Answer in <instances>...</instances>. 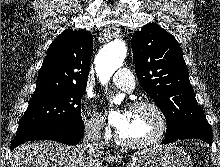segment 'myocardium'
Here are the masks:
<instances>
[{"instance_id": "myocardium-1", "label": "myocardium", "mask_w": 220, "mask_h": 167, "mask_svg": "<svg viewBox=\"0 0 220 167\" xmlns=\"http://www.w3.org/2000/svg\"><path fill=\"white\" fill-rule=\"evenodd\" d=\"M132 108L141 109V110L144 109L151 110L157 117L158 129L153 136L140 141L127 140L121 136L119 131H117L115 135L116 142L122 146L129 148H143L159 143L163 139L167 131V118L161 107L150 101H139V102H135L132 105Z\"/></svg>"}]
</instances>
